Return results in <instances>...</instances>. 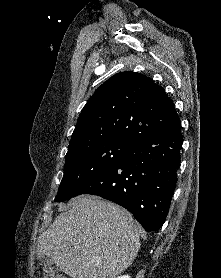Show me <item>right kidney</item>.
Segmentation results:
<instances>
[{
    "label": "right kidney",
    "instance_id": "ca27d5eb",
    "mask_svg": "<svg viewBox=\"0 0 221 278\" xmlns=\"http://www.w3.org/2000/svg\"><path fill=\"white\" fill-rule=\"evenodd\" d=\"M117 278H130L129 275L118 276Z\"/></svg>",
    "mask_w": 221,
    "mask_h": 278
}]
</instances>
